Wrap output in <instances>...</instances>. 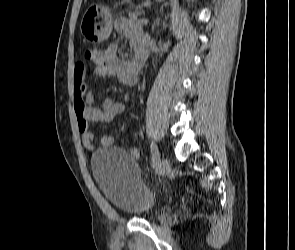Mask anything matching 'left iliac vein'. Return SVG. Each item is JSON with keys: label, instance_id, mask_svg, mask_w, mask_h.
I'll use <instances>...</instances> for the list:
<instances>
[{"label": "left iliac vein", "instance_id": "obj_1", "mask_svg": "<svg viewBox=\"0 0 295 250\" xmlns=\"http://www.w3.org/2000/svg\"><path fill=\"white\" fill-rule=\"evenodd\" d=\"M155 159L157 161L158 171L163 174L167 173L169 170L168 160L166 158H161L159 151L156 154Z\"/></svg>", "mask_w": 295, "mask_h": 250}]
</instances>
